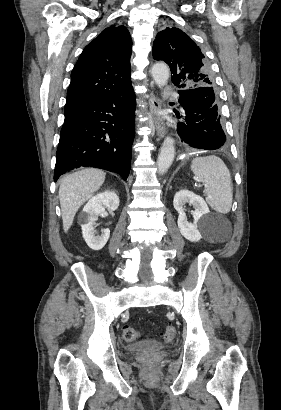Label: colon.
<instances>
[{
    "instance_id": "1",
    "label": "colon",
    "mask_w": 281,
    "mask_h": 410,
    "mask_svg": "<svg viewBox=\"0 0 281 410\" xmlns=\"http://www.w3.org/2000/svg\"><path fill=\"white\" fill-rule=\"evenodd\" d=\"M176 333V329L173 325H168L165 329L164 334L162 335V339L166 342H170ZM139 331L131 326V325H125L122 330V336L125 341L127 342H135L139 338Z\"/></svg>"
}]
</instances>
